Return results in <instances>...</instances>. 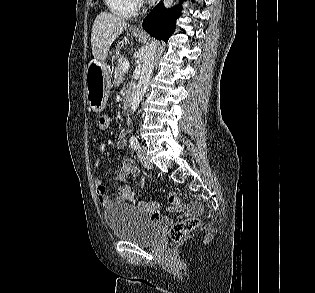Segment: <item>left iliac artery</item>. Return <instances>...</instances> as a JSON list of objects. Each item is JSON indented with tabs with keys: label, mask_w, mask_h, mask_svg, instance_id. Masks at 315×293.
Segmentation results:
<instances>
[{
	"label": "left iliac artery",
	"mask_w": 315,
	"mask_h": 293,
	"mask_svg": "<svg viewBox=\"0 0 315 293\" xmlns=\"http://www.w3.org/2000/svg\"><path fill=\"white\" fill-rule=\"evenodd\" d=\"M130 144L135 150L139 149V147H140L139 146V141H138L137 137L134 136V135H132L130 137Z\"/></svg>",
	"instance_id": "1"
}]
</instances>
